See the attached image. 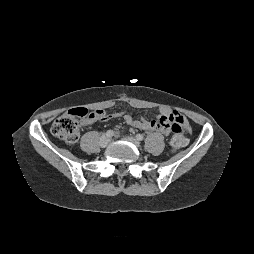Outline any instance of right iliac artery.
<instances>
[{
	"label": "right iliac artery",
	"instance_id": "right-iliac-artery-1",
	"mask_svg": "<svg viewBox=\"0 0 254 254\" xmlns=\"http://www.w3.org/2000/svg\"><path fill=\"white\" fill-rule=\"evenodd\" d=\"M114 135V131L113 130H108L107 132H106V136L107 137H112Z\"/></svg>",
	"mask_w": 254,
	"mask_h": 254
}]
</instances>
